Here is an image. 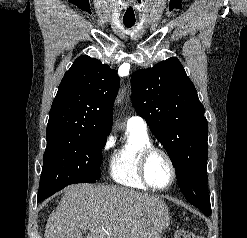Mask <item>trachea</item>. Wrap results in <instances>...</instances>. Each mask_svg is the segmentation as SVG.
I'll list each match as a JSON object with an SVG mask.
<instances>
[{"label":"trachea","instance_id":"obj_1","mask_svg":"<svg viewBox=\"0 0 247 238\" xmlns=\"http://www.w3.org/2000/svg\"><path fill=\"white\" fill-rule=\"evenodd\" d=\"M123 23L127 28H130L135 24V21H123Z\"/></svg>","mask_w":247,"mask_h":238}]
</instances>
